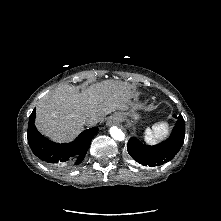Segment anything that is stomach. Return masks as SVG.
<instances>
[{
	"mask_svg": "<svg viewBox=\"0 0 221 221\" xmlns=\"http://www.w3.org/2000/svg\"><path fill=\"white\" fill-rule=\"evenodd\" d=\"M116 115H119L122 119L127 115L126 113H123V112H118L116 113ZM132 117L137 120L139 118V115L137 114H133Z\"/></svg>",
	"mask_w": 221,
	"mask_h": 221,
	"instance_id": "obj_1",
	"label": "stomach"
}]
</instances>
